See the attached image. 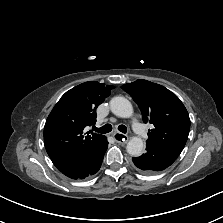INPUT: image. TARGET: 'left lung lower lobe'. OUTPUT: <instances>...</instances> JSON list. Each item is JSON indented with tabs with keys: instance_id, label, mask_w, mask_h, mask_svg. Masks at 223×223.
<instances>
[{
	"instance_id": "0a47b994",
	"label": "left lung lower lobe",
	"mask_w": 223,
	"mask_h": 223,
	"mask_svg": "<svg viewBox=\"0 0 223 223\" xmlns=\"http://www.w3.org/2000/svg\"><path fill=\"white\" fill-rule=\"evenodd\" d=\"M179 154L173 149L146 143V152L139 157H133L132 160L141 173L154 174L169 167Z\"/></svg>"
}]
</instances>
